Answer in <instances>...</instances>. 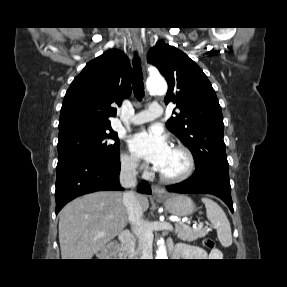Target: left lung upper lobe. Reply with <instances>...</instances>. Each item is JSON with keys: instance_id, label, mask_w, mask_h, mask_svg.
Wrapping results in <instances>:
<instances>
[{"instance_id": "obj_1", "label": "left lung upper lobe", "mask_w": 287, "mask_h": 287, "mask_svg": "<svg viewBox=\"0 0 287 287\" xmlns=\"http://www.w3.org/2000/svg\"><path fill=\"white\" fill-rule=\"evenodd\" d=\"M147 59L167 80L165 104L172 102L180 111H173L177 116L166 125L192 152L196 165L192 176H229L222 111L204 72L184 52L161 40Z\"/></svg>"}]
</instances>
